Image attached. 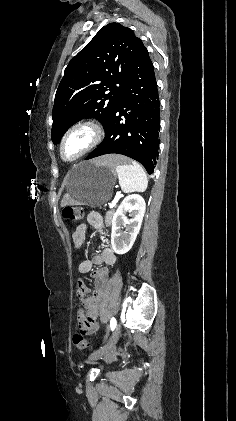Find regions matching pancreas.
<instances>
[{
    "instance_id": "pancreas-1",
    "label": "pancreas",
    "mask_w": 236,
    "mask_h": 421,
    "mask_svg": "<svg viewBox=\"0 0 236 421\" xmlns=\"http://www.w3.org/2000/svg\"><path fill=\"white\" fill-rule=\"evenodd\" d=\"M114 213H115V208H111V211H107L106 217H105L106 225H110Z\"/></svg>"
}]
</instances>
